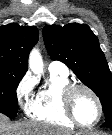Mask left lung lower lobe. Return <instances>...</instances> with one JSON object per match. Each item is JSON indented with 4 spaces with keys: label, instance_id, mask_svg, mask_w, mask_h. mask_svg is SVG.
<instances>
[{
    "label": "left lung lower lobe",
    "instance_id": "obj_1",
    "mask_svg": "<svg viewBox=\"0 0 112 135\" xmlns=\"http://www.w3.org/2000/svg\"><path fill=\"white\" fill-rule=\"evenodd\" d=\"M102 127H107L112 130V119L106 120L104 124H102Z\"/></svg>",
    "mask_w": 112,
    "mask_h": 135
}]
</instances>
